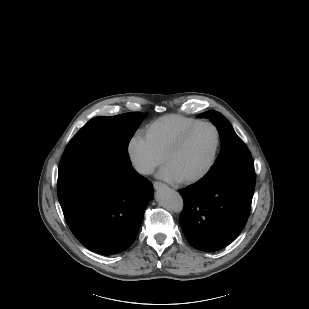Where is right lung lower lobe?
I'll return each instance as SVG.
<instances>
[{
    "label": "right lung lower lobe",
    "instance_id": "right-lung-lower-lobe-1",
    "mask_svg": "<svg viewBox=\"0 0 309 309\" xmlns=\"http://www.w3.org/2000/svg\"><path fill=\"white\" fill-rule=\"evenodd\" d=\"M58 199L69 228L92 252L112 255L134 241L153 186L131 165L90 164L64 183Z\"/></svg>",
    "mask_w": 309,
    "mask_h": 309
}]
</instances>
